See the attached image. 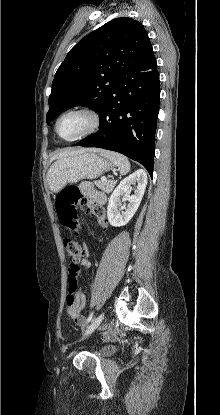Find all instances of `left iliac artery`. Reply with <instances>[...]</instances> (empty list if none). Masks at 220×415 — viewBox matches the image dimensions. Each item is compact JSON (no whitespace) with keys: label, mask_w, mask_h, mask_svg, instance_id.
I'll use <instances>...</instances> for the list:
<instances>
[{"label":"left iliac artery","mask_w":220,"mask_h":415,"mask_svg":"<svg viewBox=\"0 0 220 415\" xmlns=\"http://www.w3.org/2000/svg\"><path fill=\"white\" fill-rule=\"evenodd\" d=\"M103 317H104V313L100 314L99 322L102 320ZM92 318H93V312L89 314L87 323H89L92 320Z\"/></svg>","instance_id":"obj_1"}]
</instances>
